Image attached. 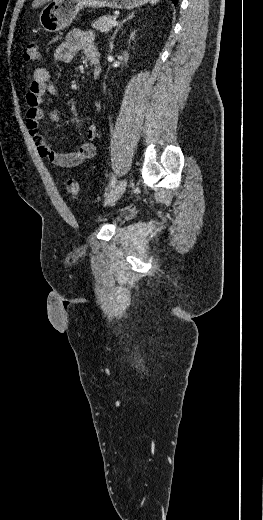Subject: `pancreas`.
I'll use <instances>...</instances> for the list:
<instances>
[{
    "instance_id": "obj_1",
    "label": "pancreas",
    "mask_w": 263,
    "mask_h": 520,
    "mask_svg": "<svg viewBox=\"0 0 263 520\" xmlns=\"http://www.w3.org/2000/svg\"><path fill=\"white\" fill-rule=\"evenodd\" d=\"M117 16L115 15H104L96 19L92 23V27L100 32H109L112 29V22L116 21Z\"/></svg>"
}]
</instances>
